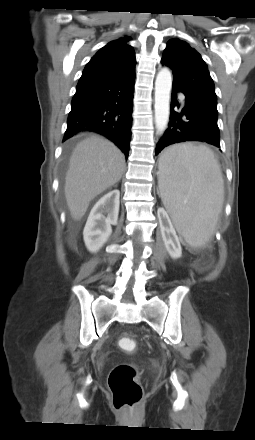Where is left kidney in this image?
Masks as SVG:
<instances>
[{
	"instance_id": "obj_1",
	"label": "left kidney",
	"mask_w": 255,
	"mask_h": 440,
	"mask_svg": "<svg viewBox=\"0 0 255 440\" xmlns=\"http://www.w3.org/2000/svg\"><path fill=\"white\" fill-rule=\"evenodd\" d=\"M158 215L161 219V233L167 252L173 259L182 256V249L176 231L163 208L158 209Z\"/></svg>"
}]
</instances>
